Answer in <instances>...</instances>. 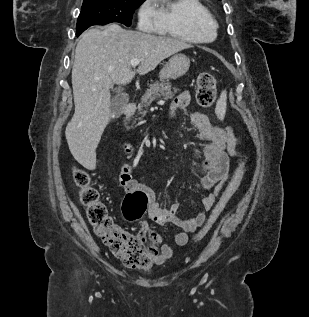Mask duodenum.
Listing matches in <instances>:
<instances>
[{
    "instance_id": "obj_1",
    "label": "duodenum",
    "mask_w": 309,
    "mask_h": 317,
    "mask_svg": "<svg viewBox=\"0 0 309 317\" xmlns=\"http://www.w3.org/2000/svg\"><path fill=\"white\" fill-rule=\"evenodd\" d=\"M134 111H135V106L133 104L126 105L123 109V112H122L124 118L128 119V118L132 117L134 114ZM128 150H130V149L128 148Z\"/></svg>"
}]
</instances>
